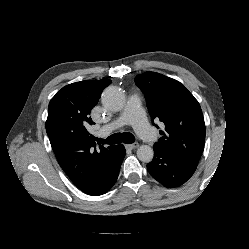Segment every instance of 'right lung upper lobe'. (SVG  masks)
<instances>
[{"mask_svg":"<svg viewBox=\"0 0 249 249\" xmlns=\"http://www.w3.org/2000/svg\"><path fill=\"white\" fill-rule=\"evenodd\" d=\"M109 79L80 81L63 87L50 101L46 131L55 156L71 181L83 192L114 165L113 146H99L89 136L90 117Z\"/></svg>","mask_w":249,"mask_h":249,"instance_id":"obj_1","label":"right lung upper lobe"}]
</instances>
